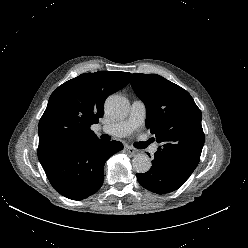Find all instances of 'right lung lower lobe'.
Here are the masks:
<instances>
[{"label": "right lung lower lobe", "mask_w": 248, "mask_h": 248, "mask_svg": "<svg viewBox=\"0 0 248 248\" xmlns=\"http://www.w3.org/2000/svg\"><path fill=\"white\" fill-rule=\"evenodd\" d=\"M121 149L119 141H103L98 137L78 140L42 167L61 195L81 200L100 189L106 160Z\"/></svg>", "instance_id": "1"}]
</instances>
